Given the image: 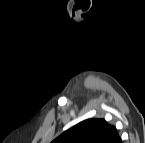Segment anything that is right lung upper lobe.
I'll list each match as a JSON object with an SVG mask.
<instances>
[{"label": "right lung upper lobe", "mask_w": 145, "mask_h": 143, "mask_svg": "<svg viewBox=\"0 0 145 143\" xmlns=\"http://www.w3.org/2000/svg\"><path fill=\"white\" fill-rule=\"evenodd\" d=\"M52 143H121L116 128L104 119H88L70 128Z\"/></svg>", "instance_id": "right-lung-upper-lobe-1"}]
</instances>
